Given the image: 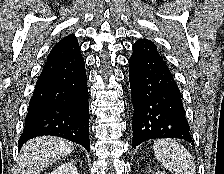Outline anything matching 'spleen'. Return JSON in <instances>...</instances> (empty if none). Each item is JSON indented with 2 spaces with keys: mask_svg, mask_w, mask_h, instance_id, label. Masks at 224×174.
I'll use <instances>...</instances> for the list:
<instances>
[{
  "mask_svg": "<svg viewBox=\"0 0 224 174\" xmlns=\"http://www.w3.org/2000/svg\"><path fill=\"white\" fill-rule=\"evenodd\" d=\"M153 149L157 160L172 174H196L191 154L175 140H158L154 142Z\"/></svg>",
  "mask_w": 224,
  "mask_h": 174,
  "instance_id": "1",
  "label": "spleen"
}]
</instances>
